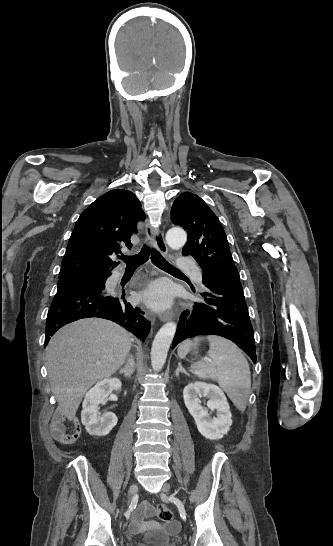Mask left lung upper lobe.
<instances>
[{
    "instance_id": "obj_1",
    "label": "left lung upper lobe",
    "mask_w": 333,
    "mask_h": 546,
    "mask_svg": "<svg viewBox=\"0 0 333 546\" xmlns=\"http://www.w3.org/2000/svg\"><path fill=\"white\" fill-rule=\"evenodd\" d=\"M171 220L187 230L188 240L182 254L192 256L203 274L216 282H240L225 231L200 197L182 193L173 203Z\"/></svg>"
}]
</instances>
